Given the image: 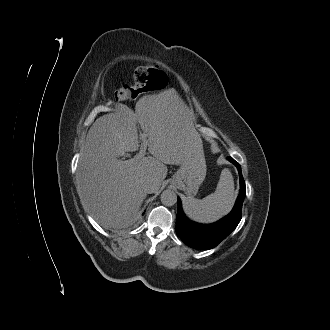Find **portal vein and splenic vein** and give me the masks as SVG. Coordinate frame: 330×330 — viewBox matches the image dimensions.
I'll return each instance as SVG.
<instances>
[{"mask_svg":"<svg viewBox=\"0 0 330 330\" xmlns=\"http://www.w3.org/2000/svg\"><path fill=\"white\" fill-rule=\"evenodd\" d=\"M141 136V139L143 141L142 143V148L141 150L139 151V153L132 159H130L129 161H137L138 159L142 158L144 155H145V151H146V147H147V143H146V134L143 133L140 135Z\"/></svg>","mask_w":330,"mask_h":330,"instance_id":"obj_1","label":"portal vein and splenic vein"}]
</instances>
